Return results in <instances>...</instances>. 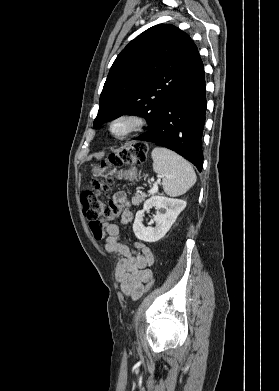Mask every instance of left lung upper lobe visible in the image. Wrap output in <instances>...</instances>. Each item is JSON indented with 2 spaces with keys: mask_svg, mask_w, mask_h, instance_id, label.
Instances as JSON below:
<instances>
[{
  "mask_svg": "<svg viewBox=\"0 0 279 391\" xmlns=\"http://www.w3.org/2000/svg\"><path fill=\"white\" fill-rule=\"evenodd\" d=\"M201 61L188 34L170 24L153 26L132 40L114 61L101 92L97 127L124 114L157 117Z\"/></svg>",
  "mask_w": 279,
  "mask_h": 391,
  "instance_id": "5c2ea615",
  "label": "left lung upper lobe"
}]
</instances>
